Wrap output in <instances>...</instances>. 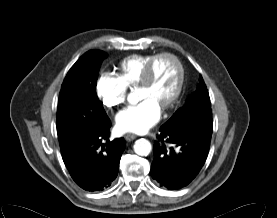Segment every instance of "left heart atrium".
Segmentation results:
<instances>
[{
	"mask_svg": "<svg viewBox=\"0 0 277 218\" xmlns=\"http://www.w3.org/2000/svg\"><path fill=\"white\" fill-rule=\"evenodd\" d=\"M160 114L159 104L145 98L120 111L116 117V127L121 132H143L159 120Z\"/></svg>",
	"mask_w": 277,
	"mask_h": 218,
	"instance_id": "39dd6f15",
	"label": "left heart atrium"
}]
</instances>
